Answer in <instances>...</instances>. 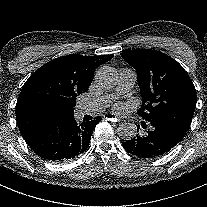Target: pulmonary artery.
Here are the masks:
<instances>
[{
    "label": "pulmonary artery",
    "instance_id": "obj_1",
    "mask_svg": "<svg viewBox=\"0 0 207 207\" xmlns=\"http://www.w3.org/2000/svg\"><path fill=\"white\" fill-rule=\"evenodd\" d=\"M136 81V73L130 69H124L120 72L117 92L122 93L128 91L133 87ZM112 96H103L97 99L90 100L83 105V112L85 114L94 113L107 107L111 101Z\"/></svg>",
    "mask_w": 207,
    "mask_h": 207
}]
</instances>
